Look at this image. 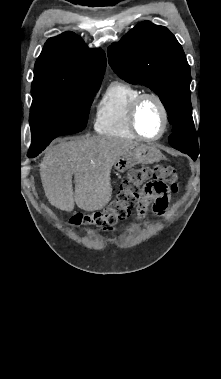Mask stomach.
<instances>
[{"label":"stomach","mask_w":221,"mask_h":379,"mask_svg":"<svg viewBox=\"0 0 221 379\" xmlns=\"http://www.w3.org/2000/svg\"><path fill=\"white\" fill-rule=\"evenodd\" d=\"M162 158L160 150L151 145H138L120 156L115 164V170L123 173L131 169L135 164H153Z\"/></svg>","instance_id":"obj_1"}]
</instances>
